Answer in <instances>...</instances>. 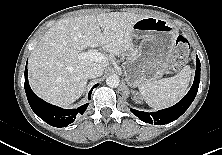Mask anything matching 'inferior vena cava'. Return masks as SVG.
<instances>
[{"mask_svg":"<svg viewBox=\"0 0 222 155\" xmlns=\"http://www.w3.org/2000/svg\"><path fill=\"white\" fill-rule=\"evenodd\" d=\"M104 69L98 64H91L85 70L86 77L88 79L100 77L103 74Z\"/></svg>","mask_w":222,"mask_h":155,"instance_id":"inferior-vena-cava-1","label":"inferior vena cava"}]
</instances>
